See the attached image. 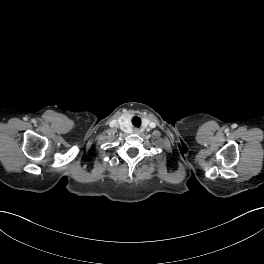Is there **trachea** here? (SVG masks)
Returning <instances> with one entry per match:
<instances>
[{
    "label": "trachea",
    "mask_w": 264,
    "mask_h": 264,
    "mask_svg": "<svg viewBox=\"0 0 264 264\" xmlns=\"http://www.w3.org/2000/svg\"><path fill=\"white\" fill-rule=\"evenodd\" d=\"M132 124L135 126V127H140L141 125V119L137 116L133 117L132 118Z\"/></svg>",
    "instance_id": "trachea-1"
}]
</instances>
